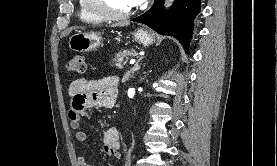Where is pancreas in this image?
<instances>
[{"label":"pancreas","mask_w":277,"mask_h":166,"mask_svg":"<svg viewBox=\"0 0 277 166\" xmlns=\"http://www.w3.org/2000/svg\"><path fill=\"white\" fill-rule=\"evenodd\" d=\"M134 55H135V51L133 49L122 50L118 52L114 58L115 66L122 69L123 66L127 64L128 57L134 56Z\"/></svg>","instance_id":"1"}]
</instances>
